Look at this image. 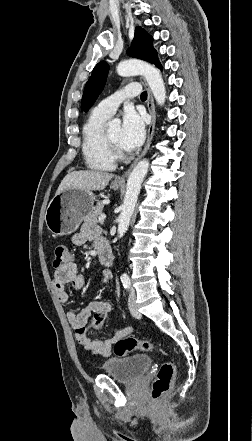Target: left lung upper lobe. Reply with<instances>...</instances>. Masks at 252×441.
Masks as SVG:
<instances>
[{"label": "left lung upper lobe", "mask_w": 252, "mask_h": 441, "mask_svg": "<svg viewBox=\"0 0 252 441\" xmlns=\"http://www.w3.org/2000/svg\"><path fill=\"white\" fill-rule=\"evenodd\" d=\"M127 53L150 63L156 64L158 62L157 52L153 47V38L141 27H136L132 45ZM108 70L109 66L105 61L99 62L94 67L92 75L85 85L81 102L82 110L88 111L94 104L104 88Z\"/></svg>", "instance_id": "left-lung-upper-lobe-1"}]
</instances>
